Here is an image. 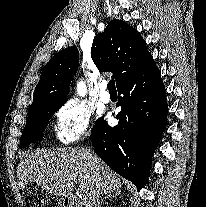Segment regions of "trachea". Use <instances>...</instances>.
Listing matches in <instances>:
<instances>
[{
    "label": "trachea",
    "mask_w": 206,
    "mask_h": 207,
    "mask_svg": "<svg viewBox=\"0 0 206 207\" xmlns=\"http://www.w3.org/2000/svg\"><path fill=\"white\" fill-rule=\"evenodd\" d=\"M107 87H108L109 91H116L115 81L114 80H110L108 85H107Z\"/></svg>",
    "instance_id": "3493384b"
}]
</instances>
